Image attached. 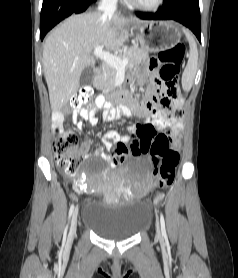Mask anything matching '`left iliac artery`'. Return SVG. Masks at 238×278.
<instances>
[{
    "instance_id": "44dca946",
    "label": "left iliac artery",
    "mask_w": 238,
    "mask_h": 278,
    "mask_svg": "<svg viewBox=\"0 0 238 278\" xmlns=\"http://www.w3.org/2000/svg\"><path fill=\"white\" fill-rule=\"evenodd\" d=\"M160 222H161V231H162V235H163L164 237H166L165 220H164V216H163L162 213L160 214Z\"/></svg>"
}]
</instances>
